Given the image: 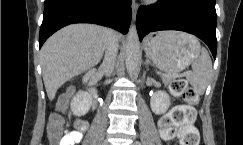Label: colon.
I'll return each instance as SVG.
<instances>
[{
	"instance_id": "colon-1",
	"label": "colon",
	"mask_w": 243,
	"mask_h": 145,
	"mask_svg": "<svg viewBox=\"0 0 243 145\" xmlns=\"http://www.w3.org/2000/svg\"><path fill=\"white\" fill-rule=\"evenodd\" d=\"M172 94L182 96L185 104L174 107L164 115L158 123L159 132L164 140H171L176 135L180 139V145H199V132L194 126L195 111L192 107L196 103L198 95L194 88L189 86L187 81L182 78L174 79L170 84ZM66 98L60 101L59 108L63 109ZM63 118L60 114H53L50 117L47 133L52 145H60L63 132ZM79 129L82 124L77 123Z\"/></svg>"
}]
</instances>
